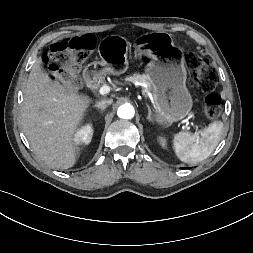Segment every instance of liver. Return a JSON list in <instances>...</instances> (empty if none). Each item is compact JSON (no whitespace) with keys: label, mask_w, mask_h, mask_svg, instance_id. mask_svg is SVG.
<instances>
[{"label":"liver","mask_w":253,"mask_h":253,"mask_svg":"<svg viewBox=\"0 0 253 253\" xmlns=\"http://www.w3.org/2000/svg\"><path fill=\"white\" fill-rule=\"evenodd\" d=\"M90 97L52 81L40 63L30 71L22 104L21 124L35 155L53 169H69L79 154L75 134L91 103Z\"/></svg>","instance_id":"obj_1"}]
</instances>
